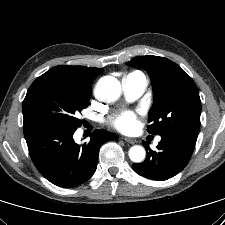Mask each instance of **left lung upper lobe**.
<instances>
[{"mask_svg": "<svg viewBox=\"0 0 225 225\" xmlns=\"http://www.w3.org/2000/svg\"><path fill=\"white\" fill-rule=\"evenodd\" d=\"M145 69L152 81L154 104L149 111L148 132L173 133L197 140L201 101L192 78L169 59L147 55L127 63Z\"/></svg>", "mask_w": 225, "mask_h": 225, "instance_id": "obj_1", "label": "left lung upper lobe"}]
</instances>
